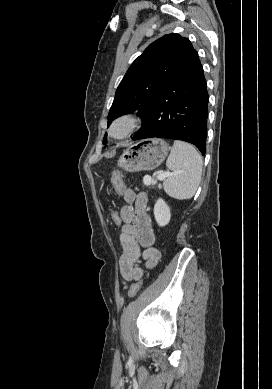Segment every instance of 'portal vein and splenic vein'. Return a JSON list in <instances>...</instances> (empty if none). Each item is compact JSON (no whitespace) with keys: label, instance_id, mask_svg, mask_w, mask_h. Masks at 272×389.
<instances>
[{"label":"portal vein and splenic vein","instance_id":"portal-vein-and-splenic-vein-1","mask_svg":"<svg viewBox=\"0 0 272 389\" xmlns=\"http://www.w3.org/2000/svg\"><path fill=\"white\" fill-rule=\"evenodd\" d=\"M171 173L170 172H162V173H160L158 176H157V179L158 180H164L166 177H168L169 175H170ZM151 177H148V176H145L144 177V182L145 183H151ZM154 183H155V181H154Z\"/></svg>","mask_w":272,"mask_h":389}]
</instances>
